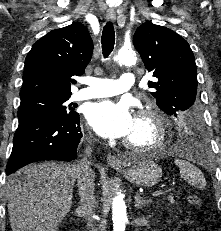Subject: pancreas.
I'll return each instance as SVG.
<instances>
[{"mask_svg":"<svg viewBox=\"0 0 221 231\" xmlns=\"http://www.w3.org/2000/svg\"><path fill=\"white\" fill-rule=\"evenodd\" d=\"M167 200L169 201L170 204H174L175 203V199H174L173 195L167 196Z\"/></svg>","mask_w":221,"mask_h":231,"instance_id":"pancreas-1","label":"pancreas"}]
</instances>
